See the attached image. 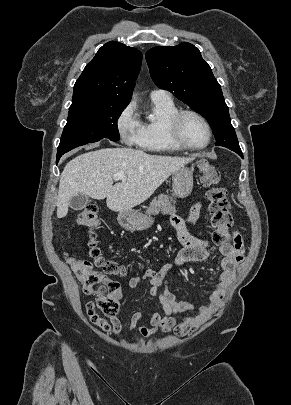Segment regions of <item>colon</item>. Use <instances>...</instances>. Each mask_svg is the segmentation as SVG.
I'll return each instance as SVG.
<instances>
[{
  "label": "colon",
  "mask_w": 291,
  "mask_h": 405,
  "mask_svg": "<svg viewBox=\"0 0 291 405\" xmlns=\"http://www.w3.org/2000/svg\"><path fill=\"white\" fill-rule=\"evenodd\" d=\"M198 169L201 182L207 188L206 197L209 202L208 210L213 228L212 240L219 246L230 244L229 228L232 224V217L226 189L218 186L221 177L220 172L207 160H200ZM76 223L89 231V254L96 267L101 270L94 269L89 261L69 255H67V262L81 283L83 291L87 295L96 297L97 306L105 315L114 316L119 310L121 286L111 276L125 275L127 269L113 260L104 258L96 245L94 232L101 224L97 208H85L77 216Z\"/></svg>",
  "instance_id": "colon-1"
}]
</instances>
